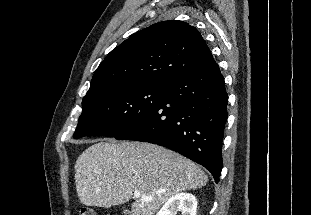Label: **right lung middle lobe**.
<instances>
[{
  "label": "right lung middle lobe",
  "instance_id": "obj_1",
  "mask_svg": "<svg viewBox=\"0 0 311 215\" xmlns=\"http://www.w3.org/2000/svg\"><path fill=\"white\" fill-rule=\"evenodd\" d=\"M163 85H134L95 92L83 98L74 138L117 136L149 115L163 100Z\"/></svg>",
  "mask_w": 311,
  "mask_h": 215
}]
</instances>
